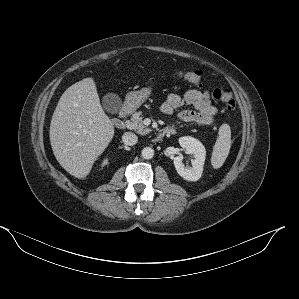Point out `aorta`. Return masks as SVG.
<instances>
[{"instance_id":"obj_1","label":"aorta","mask_w":299,"mask_h":299,"mask_svg":"<svg viewBox=\"0 0 299 299\" xmlns=\"http://www.w3.org/2000/svg\"><path fill=\"white\" fill-rule=\"evenodd\" d=\"M141 156L144 159H151L154 156V150L151 147H145L141 151Z\"/></svg>"}]
</instances>
